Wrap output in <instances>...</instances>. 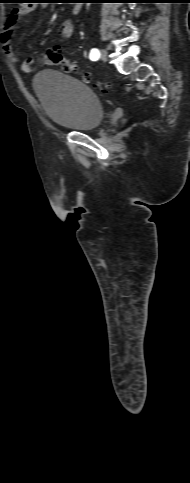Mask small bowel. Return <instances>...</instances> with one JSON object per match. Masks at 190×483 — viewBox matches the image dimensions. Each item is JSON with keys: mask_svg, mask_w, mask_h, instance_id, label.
<instances>
[{"mask_svg": "<svg viewBox=\"0 0 190 483\" xmlns=\"http://www.w3.org/2000/svg\"><path fill=\"white\" fill-rule=\"evenodd\" d=\"M34 9L35 7L32 4H25L12 9L6 20V27L1 35L3 51L7 58L13 63H18L20 65V69L24 73L31 72L33 60L31 58H27L25 60H21L19 58L18 54L13 49L12 37L17 21L20 18L30 14ZM73 32L74 27L70 20L64 21L58 28V34L63 39H70L73 36Z\"/></svg>", "mask_w": 190, "mask_h": 483, "instance_id": "small-bowel-1", "label": "small bowel"}]
</instances>
